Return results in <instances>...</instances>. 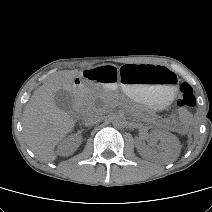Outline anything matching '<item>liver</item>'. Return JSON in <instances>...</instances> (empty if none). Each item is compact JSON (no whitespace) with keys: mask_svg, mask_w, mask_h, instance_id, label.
<instances>
[{"mask_svg":"<svg viewBox=\"0 0 212 212\" xmlns=\"http://www.w3.org/2000/svg\"><path fill=\"white\" fill-rule=\"evenodd\" d=\"M77 70L60 71L34 91L23 112V131L28 147L44 162L56 159L55 146L72 131L75 121L60 110L54 94L60 89L72 90Z\"/></svg>","mask_w":212,"mask_h":212,"instance_id":"liver-1","label":"liver"}]
</instances>
